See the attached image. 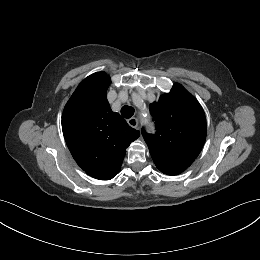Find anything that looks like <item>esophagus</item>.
<instances>
[{
    "label": "esophagus",
    "mask_w": 260,
    "mask_h": 260,
    "mask_svg": "<svg viewBox=\"0 0 260 260\" xmlns=\"http://www.w3.org/2000/svg\"><path fill=\"white\" fill-rule=\"evenodd\" d=\"M127 123H128L131 127H133V128H137V127L139 126V121H138V119H136V118H130V119H128V120H127Z\"/></svg>",
    "instance_id": "34e87169"
}]
</instances>
